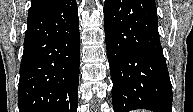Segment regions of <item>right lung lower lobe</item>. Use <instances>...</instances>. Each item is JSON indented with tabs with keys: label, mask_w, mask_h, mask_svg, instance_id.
<instances>
[{
	"label": "right lung lower lobe",
	"mask_w": 193,
	"mask_h": 112,
	"mask_svg": "<svg viewBox=\"0 0 193 112\" xmlns=\"http://www.w3.org/2000/svg\"><path fill=\"white\" fill-rule=\"evenodd\" d=\"M80 65L76 0L28 16L18 87L19 112H77Z\"/></svg>",
	"instance_id": "obj_1"
}]
</instances>
